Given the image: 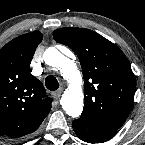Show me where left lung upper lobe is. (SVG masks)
Instances as JSON below:
<instances>
[{
    "label": "left lung upper lobe",
    "mask_w": 145,
    "mask_h": 145,
    "mask_svg": "<svg viewBox=\"0 0 145 145\" xmlns=\"http://www.w3.org/2000/svg\"><path fill=\"white\" fill-rule=\"evenodd\" d=\"M53 37L70 47L80 60L85 93L81 118L117 131L129 115L136 89L135 75L124 53L89 29L61 28Z\"/></svg>",
    "instance_id": "obj_1"
}]
</instances>
